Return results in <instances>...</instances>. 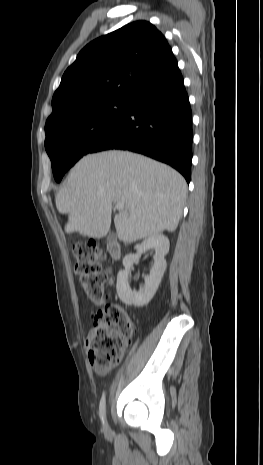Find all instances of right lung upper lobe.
Returning a JSON list of instances; mask_svg holds the SVG:
<instances>
[{
  "mask_svg": "<svg viewBox=\"0 0 263 465\" xmlns=\"http://www.w3.org/2000/svg\"><path fill=\"white\" fill-rule=\"evenodd\" d=\"M176 67L169 44L154 25L129 23L80 51L53 95L52 114L46 122L95 101L130 98Z\"/></svg>",
  "mask_w": 263,
  "mask_h": 465,
  "instance_id": "cb5924a9",
  "label": "right lung upper lobe"
}]
</instances>
